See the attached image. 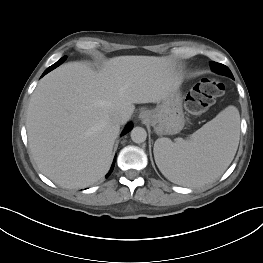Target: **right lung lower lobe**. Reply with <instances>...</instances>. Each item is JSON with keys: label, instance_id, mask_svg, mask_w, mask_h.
Wrapping results in <instances>:
<instances>
[{"label": "right lung lower lobe", "instance_id": "right-lung-lower-lobe-1", "mask_svg": "<svg viewBox=\"0 0 263 263\" xmlns=\"http://www.w3.org/2000/svg\"><path fill=\"white\" fill-rule=\"evenodd\" d=\"M66 56L61 58L58 62H56L55 64H53L52 66H50L44 73L42 76H44L45 74H47L48 72H50L51 70H53L54 68L58 67L60 64H62L65 60H66ZM132 129V123H129L124 131H123V134H126L127 132H129L130 130ZM114 164H115V160H114V163L109 171V173L106 175V178L111 174V172L113 171V168H114Z\"/></svg>", "mask_w": 263, "mask_h": 263}]
</instances>
